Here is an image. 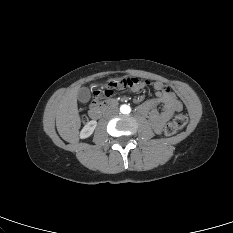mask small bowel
I'll list each match as a JSON object with an SVG mask.
<instances>
[{"label": "small bowel", "instance_id": "c3829d8e", "mask_svg": "<svg viewBox=\"0 0 233 233\" xmlns=\"http://www.w3.org/2000/svg\"><path fill=\"white\" fill-rule=\"evenodd\" d=\"M145 87L144 82L137 81L133 91H140ZM156 99L148 100L138 106V112L147 116L151 126L156 133H161L166 121L176 112L182 110V104L171 89L162 82H155ZM161 104L162 109L158 110L157 105Z\"/></svg>", "mask_w": 233, "mask_h": 233}]
</instances>
